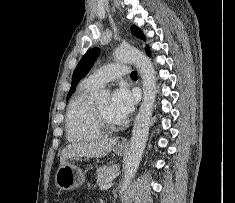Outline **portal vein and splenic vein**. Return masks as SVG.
Listing matches in <instances>:
<instances>
[{
  "label": "portal vein and splenic vein",
  "instance_id": "portal-vein-and-splenic-vein-1",
  "mask_svg": "<svg viewBox=\"0 0 235 203\" xmlns=\"http://www.w3.org/2000/svg\"><path fill=\"white\" fill-rule=\"evenodd\" d=\"M112 186V183H106L100 187L101 190H108Z\"/></svg>",
  "mask_w": 235,
  "mask_h": 203
}]
</instances>
